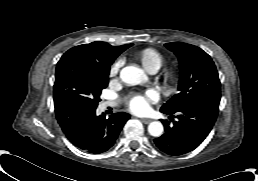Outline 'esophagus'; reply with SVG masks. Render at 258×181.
Segmentation results:
<instances>
[{
    "label": "esophagus",
    "instance_id": "1",
    "mask_svg": "<svg viewBox=\"0 0 258 181\" xmlns=\"http://www.w3.org/2000/svg\"><path fill=\"white\" fill-rule=\"evenodd\" d=\"M141 121H142L144 124H148V123H150L152 120H151V119H148V118H142Z\"/></svg>",
    "mask_w": 258,
    "mask_h": 181
}]
</instances>
